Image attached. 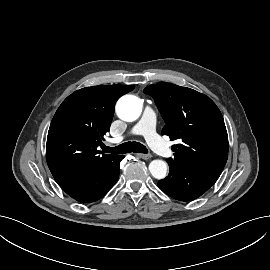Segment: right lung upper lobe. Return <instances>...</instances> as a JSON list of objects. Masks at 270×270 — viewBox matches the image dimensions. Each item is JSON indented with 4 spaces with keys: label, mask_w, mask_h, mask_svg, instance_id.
I'll return each instance as SVG.
<instances>
[{
    "label": "right lung upper lobe",
    "mask_w": 270,
    "mask_h": 270,
    "mask_svg": "<svg viewBox=\"0 0 270 270\" xmlns=\"http://www.w3.org/2000/svg\"><path fill=\"white\" fill-rule=\"evenodd\" d=\"M134 87L99 85L82 88L59 106L46 144L47 164L58 185L97 172L120 156L100 155L97 147L109 131L116 101Z\"/></svg>",
    "instance_id": "1"
}]
</instances>
